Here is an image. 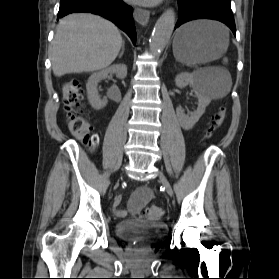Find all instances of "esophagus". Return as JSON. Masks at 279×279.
I'll list each match as a JSON object with an SVG mask.
<instances>
[{
  "label": "esophagus",
  "instance_id": "34e87169",
  "mask_svg": "<svg viewBox=\"0 0 279 279\" xmlns=\"http://www.w3.org/2000/svg\"><path fill=\"white\" fill-rule=\"evenodd\" d=\"M134 18L135 20L143 25V26H146L148 21H149V18H150V11L147 10V9H143V8H139V7H136L134 9Z\"/></svg>",
  "mask_w": 279,
  "mask_h": 279
}]
</instances>
